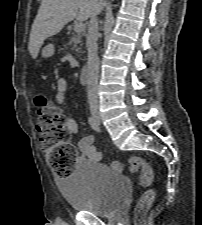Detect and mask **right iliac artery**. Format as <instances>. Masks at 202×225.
I'll return each instance as SVG.
<instances>
[{
	"instance_id": "82829eb1",
	"label": "right iliac artery",
	"mask_w": 202,
	"mask_h": 225,
	"mask_svg": "<svg viewBox=\"0 0 202 225\" xmlns=\"http://www.w3.org/2000/svg\"><path fill=\"white\" fill-rule=\"evenodd\" d=\"M88 123H89L90 127H91L93 130H95V131H97V132H100L99 124H98L97 121L94 119V117L90 116V117L88 118Z\"/></svg>"
}]
</instances>
